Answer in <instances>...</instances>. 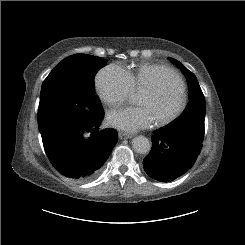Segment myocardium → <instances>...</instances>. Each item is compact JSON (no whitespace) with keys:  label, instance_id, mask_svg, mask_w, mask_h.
<instances>
[{"label":"myocardium","instance_id":"obj_1","mask_svg":"<svg viewBox=\"0 0 245 245\" xmlns=\"http://www.w3.org/2000/svg\"><path fill=\"white\" fill-rule=\"evenodd\" d=\"M161 75H169L173 78L177 86V94H178V100H179L174 110H172L169 114L163 117H160L156 120L157 125L165 126L173 122L175 119H177L182 113V111L184 110L185 105H186V93H185V87L182 82V79L174 70L167 69L163 71ZM164 90H165V85L156 83L152 86L147 87L142 92H146L154 96H159L164 92Z\"/></svg>","mask_w":245,"mask_h":245}]
</instances>
